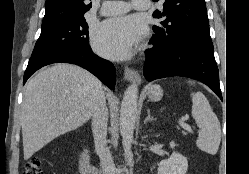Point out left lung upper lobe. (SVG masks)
Returning a JSON list of instances; mask_svg holds the SVG:
<instances>
[{
	"label": "left lung upper lobe",
	"instance_id": "left-lung-upper-lobe-1",
	"mask_svg": "<svg viewBox=\"0 0 249 174\" xmlns=\"http://www.w3.org/2000/svg\"><path fill=\"white\" fill-rule=\"evenodd\" d=\"M163 16L167 18L153 26L152 38L165 47L183 49L212 42L205 0H165L163 11L153 13L154 18Z\"/></svg>",
	"mask_w": 249,
	"mask_h": 174
}]
</instances>
